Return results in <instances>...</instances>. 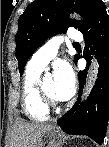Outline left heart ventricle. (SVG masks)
Listing matches in <instances>:
<instances>
[{"label":"left heart ventricle","instance_id":"left-heart-ventricle-1","mask_svg":"<svg viewBox=\"0 0 109 147\" xmlns=\"http://www.w3.org/2000/svg\"><path fill=\"white\" fill-rule=\"evenodd\" d=\"M42 88L49 96L57 100L54 94L55 83L53 79H47L45 82H43Z\"/></svg>","mask_w":109,"mask_h":147}]
</instances>
